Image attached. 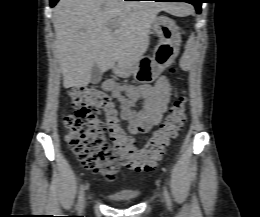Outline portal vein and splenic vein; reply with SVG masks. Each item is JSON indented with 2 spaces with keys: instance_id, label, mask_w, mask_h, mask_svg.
<instances>
[{
  "instance_id": "18ae733b",
  "label": "portal vein and splenic vein",
  "mask_w": 260,
  "mask_h": 217,
  "mask_svg": "<svg viewBox=\"0 0 260 217\" xmlns=\"http://www.w3.org/2000/svg\"><path fill=\"white\" fill-rule=\"evenodd\" d=\"M109 26L112 27V28H114V27H115V22H114V21H111V22L109 23Z\"/></svg>"
}]
</instances>
